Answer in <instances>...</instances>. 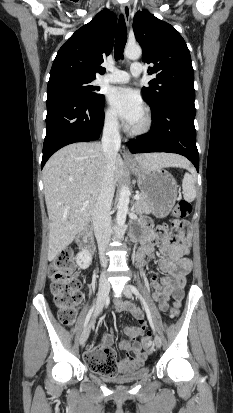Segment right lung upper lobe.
<instances>
[{"instance_id":"right-lung-upper-lobe-1","label":"right lung upper lobe","mask_w":233,"mask_h":413,"mask_svg":"<svg viewBox=\"0 0 233 413\" xmlns=\"http://www.w3.org/2000/svg\"><path fill=\"white\" fill-rule=\"evenodd\" d=\"M116 15L104 9L88 24L78 29L59 49L49 81L62 77L95 79L99 65L114 44Z\"/></svg>"}]
</instances>
